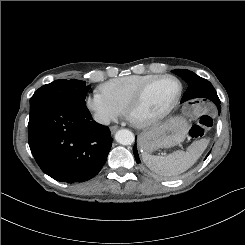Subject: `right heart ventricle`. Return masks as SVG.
I'll use <instances>...</instances> for the list:
<instances>
[{"instance_id": "1", "label": "right heart ventricle", "mask_w": 245, "mask_h": 245, "mask_svg": "<svg viewBox=\"0 0 245 245\" xmlns=\"http://www.w3.org/2000/svg\"><path fill=\"white\" fill-rule=\"evenodd\" d=\"M159 75H130L111 79L100 86V91L123 111L137 93V91L148 81Z\"/></svg>"}]
</instances>
